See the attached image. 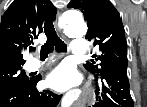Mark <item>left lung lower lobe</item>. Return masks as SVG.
Instances as JSON below:
<instances>
[{
    "label": "left lung lower lobe",
    "mask_w": 147,
    "mask_h": 107,
    "mask_svg": "<svg viewBox=\"0 0 147 107\" xmlns=\"http://www.w3.org/2000/svg\"><path fill=\"white\" fill-rule=\"evenodd\" d=\"M97 77L101 79V86L96 83L97 102L93 107H134L126 66L112 67Z\"/></svg>",
    "instance_id": "1"
}]
</instances>
